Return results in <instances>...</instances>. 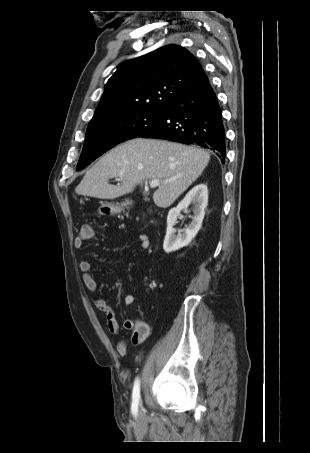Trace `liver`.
<instances>
[{
	"label": "liver",
	"instance_id": "1",
	"mask_svg": "<svg viewBox=\"0 0 310 453\" xmlns=\"http://www.w3.org/2000/svg\"><path fill=\"white\" fill-rule=\"evenodd\" d=\"M210 160L203 149L156 139L135 138L105 154L75 188L78 195L115 199L132 193L137 184L159 179L153 201L160 208L174 201L201 175ZM119 178L121 184H109ZM168 180V182H166Z\"/></svg>",
	"mask_w": 310,
	"mask_h": 453
}]
</instances>
